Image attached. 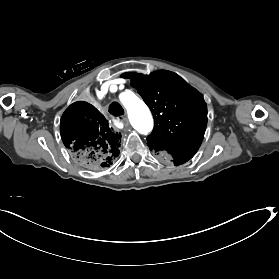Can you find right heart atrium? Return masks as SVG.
<instances>
[{"label": "right heart atrium", "mask_w": 279, "mask_h": 279, "mask_svg": "<svg viewBox=\"0 0 279 279\" xmlns=\"http://www.w3.org/2000/svg\"><path fill=\"white\" fill-rule=\"evenodd\" d=\"M92 106H94V107H98L95 103H92Z\"/></svg>", "instance_id": "obj_1"}]
</instances>
